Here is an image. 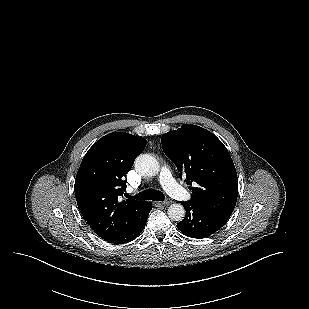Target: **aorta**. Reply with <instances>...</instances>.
<instances>
[{
  "instance_id": "obj_1",
  "label": "aorta",
  "mask_w": 309,
  "mask_h": 309,
  "mask_svg": "<svg viewBox=\"0 0 309 309\" xmlns=\"http://www.w3.org/2000/svg\"><path fill=\"white\" fill-rule=\"evenodd\" d=\"M135 168L142 175L152 177L158 174L160 165L157 159L153 156L149 154H141L135 160ZM167 214L171 220L180 222L185 217V209L181 204L174 203L169 206Z\"/></svg>"
}]
</instances>
